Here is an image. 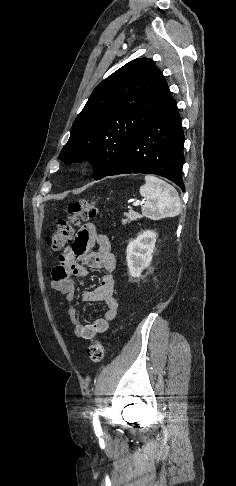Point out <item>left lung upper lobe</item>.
<instances>
[{
  "instance_id": "obj_1",
  "label": "left lung upper lobe",
  "mask_w": 236,
  "mask_h": 486,
  "mask_svg": "<svg viewBox=\"0 0 236 486\" xmlns=\"http://www.w3.org/2000/svg\"><path fill=\"white\" fill-rule=\"evenodd\" d=\"M172 100L154 61L138 58L102 81L73 122L59 154L66 162L90 161L94 178L105 177L134 137Z\"/></svg>"
}]
</instances>
